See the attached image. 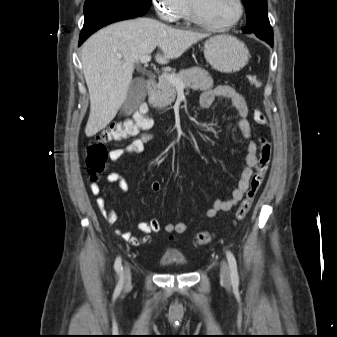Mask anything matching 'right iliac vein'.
<instances>
[{"instance_id": "right-iliac-vein-1", "label": "right iliac vein", "mask_w": 337, "mask_h": 337, "mask_svg": "<svg viewBox=\"0 0 337 337\" xmlns=\"http://www.w3.org/2000/svg\"><path fill=\"white\" fill-rule=\"evenodd\" d=\"M131 283V273H130V268L129 266H125L124 269V287L128 288L130 286Z\"/></svg>"}]
</instances>
